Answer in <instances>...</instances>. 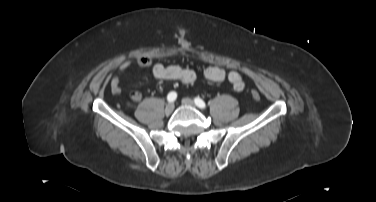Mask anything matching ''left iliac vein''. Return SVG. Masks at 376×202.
I'll return each instance as SVG.
<instances>
[{
  "label": "left iliac vein",
  "mask_w": 376,
  "mask_h": 202,
  "mask_svg": "<svg viewBox=\"0 0 376 202\" xmlns=\"http://www.w3.org/2000/svg\"><path fill=\"white\" fill-rule=\"evenodd\" d=\"M182 103L186 106L195 107L194 101L190 98H183Z\"/></svg>",
  "instance_id": "left-iliac-vein-1"
}]
</instances>
